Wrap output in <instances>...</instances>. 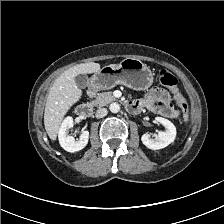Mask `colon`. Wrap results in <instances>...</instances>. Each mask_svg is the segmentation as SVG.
Segmentation results:
<instances>
[{
  "label": "colon",
  "instance_id": "obj_1",
  "mask_svg": "<svg viewBox=\"0 0 224 224\" xmlns=\"http://www.w3.org/2000/svg\"><path fill=\"white\" fill-rule=\"evenodd\" d=\"M159 81L162 85L170 89L173 98L175 99L181 114L185 121H188L189 108L186 100L183 98L178 88V81L169 71L162 69L159 72Z\"/></svg>",
  "mask_w": 224,
  "mask_h": 224
}]
</instances>
